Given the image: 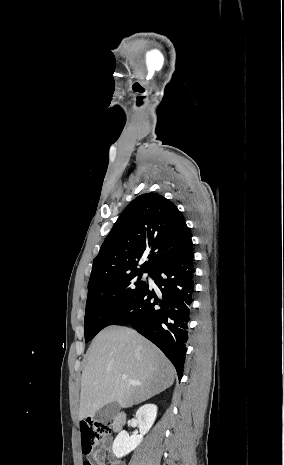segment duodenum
Returning a JSON list of instances; mask_svg holds the SVG:
<instances>
[{"label": "duodenum", "instance_id": "1", "mask_svg": "<svg viewBox=\"0 0 284 465\" xmlns=\"http://www.w3.org/2000/svg\"><path fill=\"white\" fill-rule=\"evenodd\" d=\"M126 423V413L123 410H119L115 413L112 420V428L115 433L120 432Z\"/></svg>", "mask_w": 284, "mask_h": 465}]
</instances>
